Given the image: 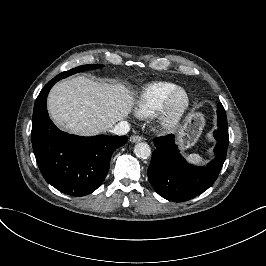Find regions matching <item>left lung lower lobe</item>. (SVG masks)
Returning <instances> with one entry per match:
<instances>
[{
  "instance_id": "0a47b994",
  "label": "left lung lower lobe",
  "mask_w": 266,
  "mask_h": 266,
  "mask_svg": "<svg viewBox=\"0 0 266 266\" xmlns=\"http://www.w3.org/2000/svg\"><path fill=\"white\" fill-rule=\"evenodd\" d=\"M214 131L217 144L215 158L206 166H194L179 153L172 134L156 138L148 178L155 191L163 198L183 202L207 190L217 179L226 158L229 144L226 115L218 116Z\"/></svg>"
}]
</instances>
